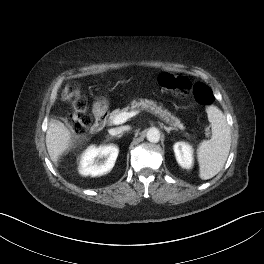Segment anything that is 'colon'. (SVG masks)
Segmentation results:
<instances>
[{
  "instance_id": "colon-1",
  "label": "colon",
  "mask_w": 264,
  "mask_h": 264,
  "mask_svg": "<svg viewBox=\"0 0 264 264\" xmlns=\"http://www.w3.org/2000/svg\"><path fill=\"white\" fill-rule=\"evenodd\" d=\"M161 87L179 96H191L198 104L209 105L213 102L211 89L200 82L193 83L187 77L174 74H161L158 77ZM64 98L74 109L72 115L66 119L69 129L75 134H82L90 125L91 119L86 113V100L75 84H70L64 91Z\"/></svg>"
}]
</instances>
